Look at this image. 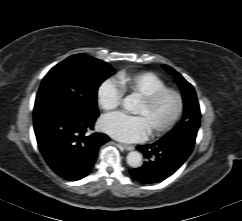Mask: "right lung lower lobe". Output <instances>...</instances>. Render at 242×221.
Here are the masks:
<instances>
[{
  "label": "right lung lower lobe",
  "mask_w": 242,
  "mask_h": 221,
  "mask_svg": "<svg viewBox=\"0 0 242 221\" xmlns=\"http://www.w3.org/2000/svg\"><path fill=\"white\" fill-rule=\"evenodd\" d=\"M98 115L81 117L61 111L34 115L38 147L50 168L62 178H84L92 169L100 146L109 140L102 133L87 134Z\"/></svg>",
  "instance_id": "1"
}]
</instances>
